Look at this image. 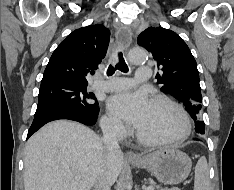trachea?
Segmentation results:
<instances>
[{
    "label": "trachea",
    "mask_w": 234,
    "mask_h": 190,
    "mask_svg": "<svg viewBox=\"0 0 234 190\" xmlns=\"http://www.w3.org/2000/svg\"><path fill=\"white\" fill-rule=\"evenodd\" d=\"M117 69L125 73L128 72V66L123 58L122 52L118 53V63L115 66L109 65L107 75H113Z\"/></svg>",
    "instance_id": "1"
}]
</instances>
